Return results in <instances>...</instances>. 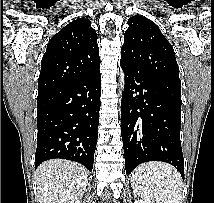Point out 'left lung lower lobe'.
Instances as JSON below:
<instances>
[{
	"instance_id": "0a47b994",
	"label": "left lung lower lobe",
	"mask_w": 214,
	"mask_h": 203,
	"mask_svg": "<svg viewBox=\"0 0 214 203\" xmlns=\"http://www.w3.org/2000/svg\"><path fill=\"white\" fill-rule=\"evenodd\" d=\"M120 65L125 72L121 136L126 173L144 162L163 161L177 168L184 180L181 85Z\"/></svg>"
}]
</instances>
